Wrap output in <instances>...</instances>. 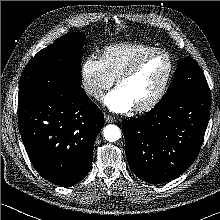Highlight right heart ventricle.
I'll return each mask as SVG.
<instances>
[{
	"label": "right heart ventricle",
	"mask_w": 220,
	"mask_h": 220,
	"mask_svg": "<svg viewBox=\"0 0 220 220\" xmlns=\"http://www.w3.org/2000/svg\"><path fill=\"white\" fill-rule=\"evenodd\" d=\"M155 48L144 43L114 44L102 50L100 59L109 75L116 79L138 57Z\"/></svg>",
	"instance_id": "right-heart-ventricle-1"
}]
</instances>
